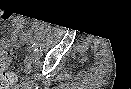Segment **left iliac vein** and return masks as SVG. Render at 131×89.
<instances>
[{"label":"left iliac vein","mask_w":131,"mask_h":89,"mask_svg":"<svg viewBox=\"0 0 131 89\" xmlns=\"http://www.w3.org/2000/svg\"><path fill=\"white\" fill-rule=\"evenodd\" d=\"M41 55H42L41 51H38V52L36 53V56H41Z\"/></svg>","instance_id":"4c4485c4"}]
</instances>
